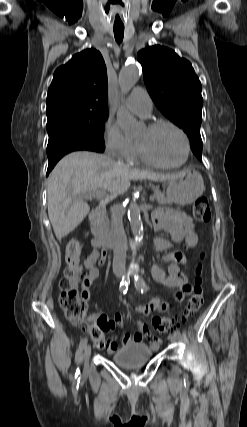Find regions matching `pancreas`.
Wrapping results in <instances>:
<instances>
[{
	"label": "pancreas",
	"instance_id": "pancreas-1",
	"mask_svg": "<svg viewBox=\"0 0 247 427\" xmlns=\"http://www.w3.org/2000/svg\"><path fill=\"white\" fill-rule=\"evenodd\" d=\"M154 195L158 204H170L172 203L162 192L159 190L154 191ZM103 222L106 226H108V219L106 217L103 218Z\"/></svg>",
	"mask_w": 247,
	"mask_h": 427
}]
</instances>
